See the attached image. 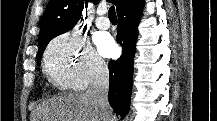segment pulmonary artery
I'll use <instances>...</instances> for the list:
<instances>
[{"label":"pulmonary artery","mask_w":217,"mask_h":121,"mask_svg":"<svg viewBox=\"0 0 217 121\" xmlns=\"http://www.w3.org/2000/svg\"><path fill=\"white\" fill-rule=\"evenodd\" d=\"M95 24H96L97 28L100 30H107L110 28V21L104 15L103 11L98 12V17L95 20Z\"/></svg>","instance_id":"obj_1"}]
</instances>
